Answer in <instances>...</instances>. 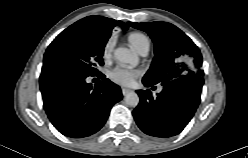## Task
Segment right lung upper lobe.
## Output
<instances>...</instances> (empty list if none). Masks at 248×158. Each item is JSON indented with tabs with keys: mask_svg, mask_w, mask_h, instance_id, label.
<instances>
[{
	"mask_svg": "<svg viewBox=\"0 0 248 158\" xmlns=\"http://www.w3.org/2000/svg\"><path fill=\"white\" fill-rule=\"evenodd\" d=\"M83 27L86 32L94 39L107 42L111 31L115 26L127 29L128 26L121 22L101 16H88L76 22Z\"/></svg>",
	"mask_w": 248,
	"mask_h": 158,
	"instance_id": "right-lung-upper-lobe-1",
	"label": "right lung upper lobe"
}]
</instances>
